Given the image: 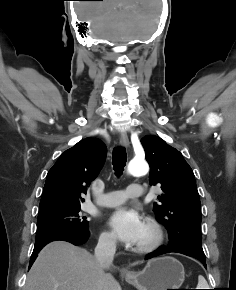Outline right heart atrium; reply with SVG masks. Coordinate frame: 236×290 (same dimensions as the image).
<instances>
[{"label":"right heart atrium","instance_id":"right-heart-atrium-1","mask_svg":"<svg viewBox=\"0 0 236 290\" xmlns=\"http://www.w3.org/2000/svg\"><path fill=\"white\" fill-rule=\"evenodd\" d=\"M99 243L103 247L113 248L116 246V238L112 233L103 231L99 235Z\"/></svg>","mask_w":236,"mask_h":290}]
</instances>
